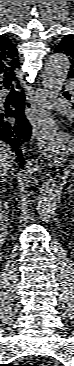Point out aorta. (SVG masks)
<instances>
[{
	"mask_svg": "<svg viewBox=\"0 0 74 366\" xmlns=\"http://www.w3.org/2000/svg\"><path fill=\"white\" fill-rule=\"evenodd\" d=\"M70 68V59L64 53H53L45 63L43 86L45 95L56 98L62 89ZM59 184L50 176L39 187L37 210L43 222L50 221L56 213L59 203Z\"/></svg>",
	"mask_w": 74,
	"mask_h": 366,
	"instance_id": "1",
	"label": "aorta"
}]
</instances>
